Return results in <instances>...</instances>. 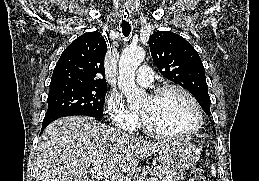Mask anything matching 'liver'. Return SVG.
Returning a JSON list of instances; mask_svg holds the SVG:
<instances>
[{
    "label": "liver",
    "instance_id": "1",
    "mask_svg": "<svg viewBox=\"0 0 259 181\" xmlns=\"http://www.w3.org/2000/svg\"><path fill=\"white\" fill-rule=\"evenodd\" d=\"M168 142L145 141L86 116L64 117L39 139L36 181H91L88 172L104 167L119 179ZM109 180L116 181L112 175Z\"/></svg>",
    "mask_w": 259,
    "mask_h": 181
}]
</instances>
